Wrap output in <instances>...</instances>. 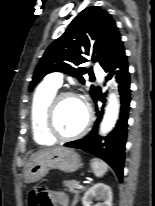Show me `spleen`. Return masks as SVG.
Listing matches in <instances>:
<instances>
[{"label": "spleen", "instance_id": "obj_1", "mask_svg": "<svg viewBox=\"0 0 155 206\" xmlns=\"http://www.w3.org/2000/svg\"><path fill=\"white\" fill-rule=\"evenodd\" d=\"M90 166L92 168L93 173L98 178L103 177L108 171V165L104 161L99 160L97 158L91 160Z\"/></svg>", "mask_w": 155, "mask_h": 206}]
</instances>
